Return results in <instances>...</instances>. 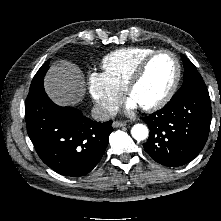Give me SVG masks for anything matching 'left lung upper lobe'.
<instances>
[{"label":"left lung upper lobe","mask_w":221,"mask_h":221,"mask_svg":"<svg viewBox=\"0 0 221 221\" xmlns=\"http://www.w3.org/2000/svg\"><path fill=\"white\" fill-rule=\"evenodd\" d=\"M184 63V81L182 87L176 92V95L181 94L185 91H190L194 89L206 88V85L197 71L194 64L184 55H181Z\"/></svg>","instance_id":"5c2ea615"}]
</instances>
